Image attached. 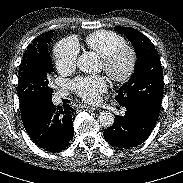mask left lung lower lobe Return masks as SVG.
Masks as SVG:
<instances>
[{"mask_svg": "<svg viewBox=\"0 0 183 183\" xmlns=\"http://www.w3.org/2000/svg\"><path fill=\"white\" fill-rule=\"evenodd\" d=\"M124 116H116L111 127L104 131L106 141L113 147L129 149L145 141L158 117L133 105L125 106Z\"/></svg>", "mask_w": 183, "mask_h": 183, "instance_id": "left-lung-lower-lobe-1", "label": "left lung lower lobe"}]
</instances>
